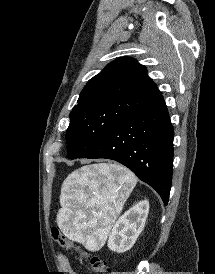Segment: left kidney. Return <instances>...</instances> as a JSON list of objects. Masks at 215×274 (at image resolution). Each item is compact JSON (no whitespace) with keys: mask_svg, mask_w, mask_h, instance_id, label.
Returning <instances> with one entry per match:
<instances>
[{"mask_svg":"<svg viewBox=\"0 0 215 274\" xmlns=\"http://www.w3.org/2000/svg\"><path fill=\"white\" fill-rule=\"evenodd\" d=\"M149 213V202L140 201L126 211L114 224L107 246L117 253L130 250L145 227Z\"/></svg>","mask_w":215,"mask_h":274,"instance_id":"left-kidney-1","label":"left kidney"}]
</instances>
